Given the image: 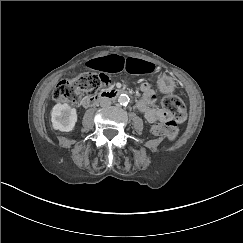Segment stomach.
I'll return each mask as SVG.
<instances>
[{"instance_id": "obj_1", "label": "stomach", "mask_w": 243, "mask_h": 243, "mask_svg": "<svg viewBox=\"0 0 243 243\" xmlns=\"http://www.w3.org/2000/svg\"><path fill=\"white\" fill-rule=\"evenodd\" d=\"M158 86L161 89V91L165 93H170L173 92L175 88V82L171 77L162 75L158 78Z\"/></svg>"}]
</instances>
